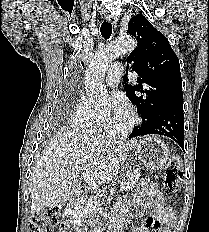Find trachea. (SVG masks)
<instances>
[{
	"instance_id": "1",
	"label": "trachea",
	"mask_w": 209,
	"mask_h": 232,
	"mask_svg": "<svg viewBox=\"0 0 209 232\" xmlns=\"http://www.w3.org/2000/svg\"><path fill=\"white\" fill-rule=\"evenodd\" d=\"M100 32L105 39H109L112 34V24L104 21L101 25Z\"/></svg>"
}]
</instances>
